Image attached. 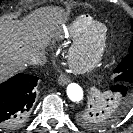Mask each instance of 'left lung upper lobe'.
<instances>
[{
  "instance_id": "5c2ea615",
  "label": "left lung upper lobe",
  "mask_w": 133,
  "mask_h": 133,
  "mask_svg": "<svg viewBox=\"0 0 133 133\" xmlns=\"http://www.w3.org/2000/svg\"><path fill=\"white\" fill-rule=\"evenodd\" d=\"M133 31V19L131 20ZM119 73L115 80L121 84H133V38L129 47V54L115 69ZM101 104L98 108L87 107L77 114V122L89 129H99L106 127L116 121L124 112V107H117L115 103L108 101Z\"/></svg>"
}]
</instances>
